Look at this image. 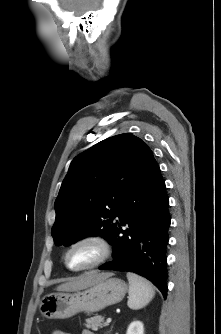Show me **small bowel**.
<instances>
[{
  "label": "small bowel",
  "mask_w": 221,
  "mask_h": 334,
  "mask_svg": "<svg viewBox=\"0 0 221 334\" xmlns=\"http://www.w3.org/2000/svg\"><path fill=\"white\" fill-rule=\"evenodd\" d=\"M52 334H70V333L64 332L62 330H54L52 332ZM81 334H94V333L92 331H90V330L85 329V330L82 331Z\"/></svg>",
  "instance_id": "obj_1"
}]
</instances>
